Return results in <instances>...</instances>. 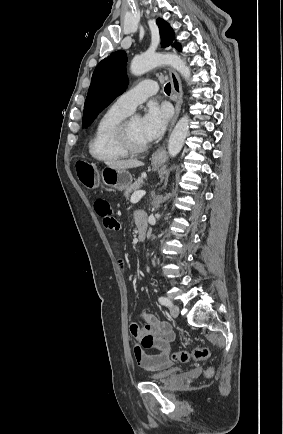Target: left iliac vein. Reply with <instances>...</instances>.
<instances>
[{"label": "left iliac vein", "mask_w": 283, "mask_h": 434, "mask_svg": "<svg viewBox=\"0 0 283 434\" xmlns=\"http://www.w3.org/2000/svg\"><path fill=\"white\" fill-rule=\"evenodd\" d=\"M179 312H180V309L177 305H172L170 307V314L172 317H174V318L178 317Z\"/></svg>", "instance_id": "obj_1"}]
</instances>
